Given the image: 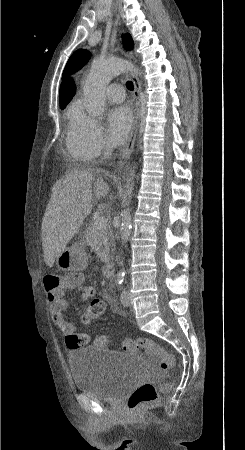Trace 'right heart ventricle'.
Returning <instances> with one entry per match:
<instances>
[{"label": "right heart ventricle", "mask_w": 245, "mask_h": 450, "mask_svg": "<svg viewBox=\"0 0 245 450\" xmlns=\"http://www.w3.org/2000/svg\"><path fill=\"white\" fill-rule=\"evenodd\" d=\"M75 110H76V109L73 108V109H71V110L69 111L68 117H69L70 120L73 118V116H74V114H75Z\"/></svg>", "instance_id": "1"}]
</instances>
